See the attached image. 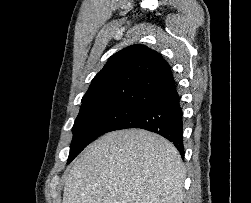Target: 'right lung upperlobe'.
<instances>
[{
    "label": "right lung upper lobe",
    "mask_w": 251,
    "mask_h": 203,
    "mask_svg": "<svg viewBox=\"0 0 251 203\" xmlns=\"http://www.w3.org/2000/svg\"><path fill=\"white\" fill-rule=\"evenodd\" d=\"M176 92L169 64L144 45L115 53L93 78L82 105L125 104L141 109Z\"/></svg>",
    "instance_id": "cb5924a9"
}]
</instances>
